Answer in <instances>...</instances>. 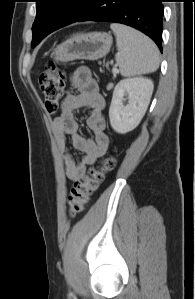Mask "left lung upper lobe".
<instances>
[{
	"instance_id": "left-lung-upper-lobe-1",
	"label": "left lung upper lobe",
	"mask_w": 195,
	"mask_h": 299,
	"mask_svg": "<svg viewBox=\"0 0 195 299\" xmlns=\"http://www.w3.org/2000/svg\"><path fill=\"white\" fill-rule=\"evenodd\" d=\"M89 3L90 0H36L31 46H36L53 31L76 22L84 15Z\"/></svg>"
}]
</instances>
